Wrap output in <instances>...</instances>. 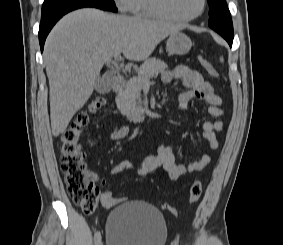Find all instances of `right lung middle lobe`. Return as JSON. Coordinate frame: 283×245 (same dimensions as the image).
<instances>
[{
  "instance_id": "right-lung-middle-lobe-1",
  "label": "right lung middle lobe",
  "mask_w": 283,
  "mask_h": 245,
  "mask_svg": "<svg viewBox=\"0 0 283 245\" xmlns=\"http://www.w3.org/2000/svg\"><path fill=\"white\" fill-rule=\"evenodd\" d=\"M81 3H108L115 4L113 0H44L42 6V15L48 14L55 10L66 8L70 5Z\"/></svg>"
}]
</instances>
